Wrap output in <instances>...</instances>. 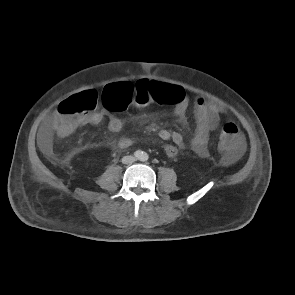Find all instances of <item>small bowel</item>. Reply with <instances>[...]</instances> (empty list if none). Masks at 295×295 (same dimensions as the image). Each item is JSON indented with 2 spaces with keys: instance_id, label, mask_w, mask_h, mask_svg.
Wrapping results in <instances>:
<instances>
[{
  "instance_id": "obj_1",
  "label": "small bowel",
  "mask_w": 295,
  "mask_h": 295,
  "mask_svg": "<svg viewBox=\"0 0 295 295\" xmlns=\"http://www.w3.org/2000/svg\"><path fill=\"white\" fill-rule=\"evenodd\" d=\"M147 81V80H142ZM141 82V81H139ZM138 83V82H137ZM178 90V94L174 103V115L180 119L185 117L189 106V97L182 87L174 86ZM194 113L196 118V129L188 143H186L183 135L179 132L164 129L159 132V138L165 142L164 152L169 158L177 156L179 149L188 146L193 152L201 157L208 156V141L212 131H214L220 122V117L225 113V109L215 103L198 96L194 100ZM105 114L97 111L92 112L83 119L82 124L97 125L103 121ZM56 115L52 116L43 125L39 133V143L49 151L51 148V135L54 130V122ZM108 128L111 132L117 133L123 128V121L117 116H110L108 121ZM133 144V140L128 137L121 138L118 141V147L121 149L129 148ZM244 150L242 140L238 147L232 151H227L226 161L232 164L239 159Z\"/></svg>"
}]
</instances>
